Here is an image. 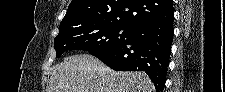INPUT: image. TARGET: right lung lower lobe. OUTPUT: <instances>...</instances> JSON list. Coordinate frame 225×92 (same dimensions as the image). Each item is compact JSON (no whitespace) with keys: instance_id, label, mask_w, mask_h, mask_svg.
<instances>
[{"instance_id":"obj_1","label":"right lung lower lobe","mask_w":225,"mask_h":92,"mask_svg":"<svg viewBox=\"0 0 225 92\" xmlns=\"http://www.w3.org/2000/svg\"><path fill=\"white\" fill-rule=\"evenodd\" d=\"M174 18L134 28L130 37L107 49L91 53L117 71H144L163 92L174 35Z\"/></svg>"}]
</instances>
